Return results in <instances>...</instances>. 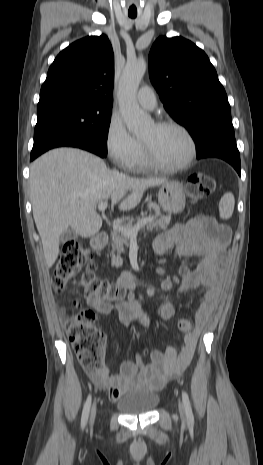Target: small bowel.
<instances>
[{"instance_id":"obj_1","label":"small bowel","mask_w":263,"mask_h":465,"mask_svg":"<svg viewBox=\"0 0 263 465\" xmlns=\"http://www.w3.org/2000/svg\"><path fill=\"white\" fill-rule=\"evenodd\" d=\"M229 240L228 231L200 224L196 219L173 225L159 235L153 248L154 258H163L174 254L180 257L197 256L201 261L196 269L183 279L182 292L187 293L199 287L204 289L199 306L195 311V330L186 333L181 350L169 346L164 351H148L144 347L137 349V360L122 361L116 371L104 368L99 372H90L93 383L109 392L111 400H117L124 393L145 388L152 391L162 389L166 381L180 375L190 364L204 325L209 321L217 302L223 280L225 249ZM136 283L133 272H124L118 285L131 292ZM89 306L102 314L115 311L119 322L124 326L133 323L147 327L154 320L167 321L175 315V304L166 301L155 310H142L138 304L128 298L112 304L108 300L87 298ZM147 357L149 361H147Z\"/></svg>"}]
</instances>
